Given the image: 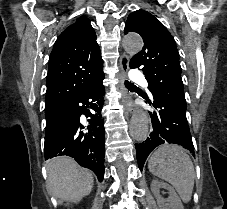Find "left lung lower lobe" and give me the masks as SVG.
I'll return each instance as SVG.
<instances>
[{"label":"left lung lower lobe","mask_w":227,"mask_h":209,"mask_svg":"<svg viewBox=\"0 0 227 209\" xmlns=\"http://www.w3.org/2000/svg\"><path fill=\"white\" fill-rule=\"evenodd\" d=\"M147 102L158 110L149 112L153 125L150 137L145 142L135 144L139 169L142 171L152 150L164 143L181 145L195 156L186 109L167 99H154L153 102L147 100Z\"/></svg>","instance_id":"0a47b994"}]
</instances>
